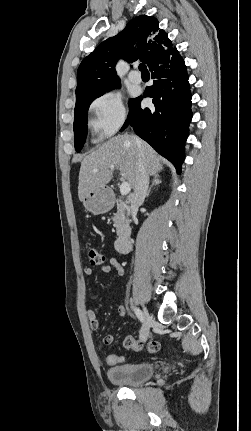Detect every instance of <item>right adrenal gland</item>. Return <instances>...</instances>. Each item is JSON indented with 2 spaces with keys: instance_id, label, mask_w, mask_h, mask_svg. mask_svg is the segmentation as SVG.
I'll use <instances>...</instances> for the list:
<instances>
[{
  "instance_id": "right-adrenal-gland-1",
  "label": "right adrenal gland",
  "mask_w": 251,
  "mask_h": 431,
  "mask_svg": "<svg viewBox=\"0 0 251 431\" xmlns=\"http://www.w3.org/2000/svg\"><path fill=\"white\" fill-rule=\"evenodd\" d=\"M161 183H162V180H161L160 175H159V174H155V175H153L152 183H151V185H150V187H149V189H148V191H147L146 197H148V196H149V194H150V192H151L152 187L157 186V185H159V184H161Z\"/></svg>"
}]
</instances>
